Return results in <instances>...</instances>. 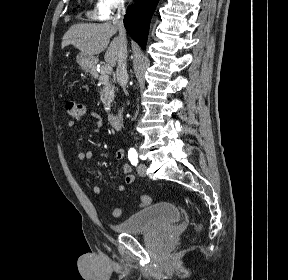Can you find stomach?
<instances>
[{
	"instance_id": "stomach-1",
	"label": "stomach",
	"mask_w": 288,
	"mask_h": 280,
	"mask_svg": "<svg viewBox=\"0 0 288 280\" xmlns=\"http://www.w3.org/2000/svg\"><path fill=\"white\" fill-rule=\"evenodd\" d=\"M77 63L80 67L86 70H93L97 63V58L80 52L76 57Z\"/></svg>"
}]
</instances>
